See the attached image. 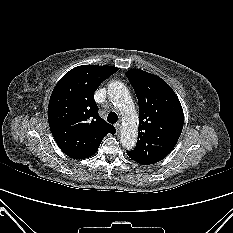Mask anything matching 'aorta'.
Segmentation results:
<instances>
[{
  "mask_svg": "<svg viewBox=\"0 0 233 233\" xmlns=\"http://www.w3.org/2000/svg\"><path fill=\"white\" fill-rule=\"evenodd\" d=\"M108 95L122 116L120 141L124 148L131 150L137 142L139 120L129 91L123 83L112 81L108 85Z\"/></svg>",
  "mask_w": 233,
  "mask_h": 233,
  "instance_id": "aorta-1",
  "label": "aorta"
}]
</instances>
